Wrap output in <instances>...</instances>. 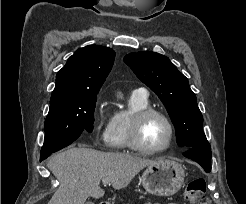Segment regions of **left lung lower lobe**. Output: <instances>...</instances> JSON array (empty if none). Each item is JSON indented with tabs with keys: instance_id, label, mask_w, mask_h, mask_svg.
Listing matches in <instances>:
<instances>
[{
	"instance_id": "1",
	"label": "left lung lower lobe",
	"mask_w": 246,
	"mask_h": 204,
	"mask_svg": "<svg viewBox=\"0 0 246 204\" xmlns=\"http://www.w3.org/2000/svg\"><path fill=\"white\" fill-rule=\"evenodd\" d=\"M183 155L199 163L206 172L211 171V147L209 143L201 146L191 147Z\"/></svg>"
}]
</instances>
